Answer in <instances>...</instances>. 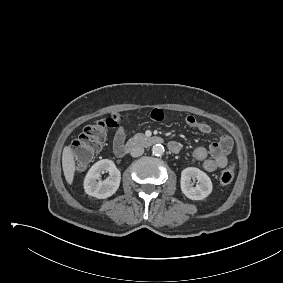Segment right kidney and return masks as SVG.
I'll return each instance as SVG.
<instances>
[{
	"label": "right kidney",
	"mask_w": 283,
	"mask_h": 283,
	"mask_svg": "<svg viewBox=\"0 0 283 283\" xmlns=\"http://www.w3.org/2000/svg\"><path fill=\"white\" fill-rule=\"evenodd\" d=\"M104 172H109V176L101 181L100 176ZM120 180L121 174L114 162L109 159H103L96 162L89 169L84 179V190L90 196L106 199L117 191Z\"/></svg>",
	"instance_id": "obj_1"
}]
</instances>
